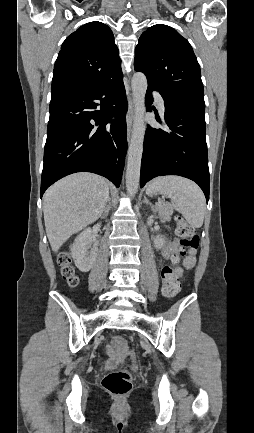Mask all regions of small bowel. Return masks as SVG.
<instances>
[{
  "label": "small bowel",
  "instance_id": "small-bowel-1",
  "mask_svg": "<svg viewBox=\"0 0 254 433\" xmlns=\"http://www.w3.org/2000/svg\"><path fill=\"white\" fill-rule=\"evenodd\" d=\"M178 252V243L176 240H172L169 239L166 246L163 249V255L167 260L173 259V257L177 254ZM195 265V255L193 253H191L184 261V268L186 270H190L194 267ZM176 274L179 277L183 276V269L180 267H176L175 268ZM164 289V285L162 287V290ZM114 360L112 359L110 361V363H113Z\"/></svg>",
  "mask_w": 254,
  "mask_h": 433
}]
</instances>
